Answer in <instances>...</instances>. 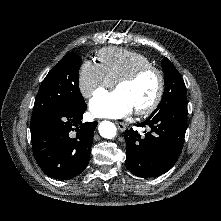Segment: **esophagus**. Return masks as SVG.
I'll return each instance as SVG.
<instances>
[{
	"label": "esophagus",
	"instance_id": "esophagus-1",
	"mask_svg": "<svg viewBox=\"0 0 221 221\" xmlns=\"http://www.w3.org/2000/svg\"><path fill=\"white\" fill-rule=\"evenodd\" d=\"M115 124L117 125L118 129L121 131V132H124L126 130V126L124 123L122 122H115Z\"/></svg>",
	"mask_w": 221,
	"mask_h": 221
}]
</instances>
